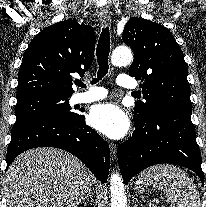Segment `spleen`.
I'll use <instances>...</instances> for the list:
<instances>
[{
    "label": "spleen",
    "mask_w": 206,
    "mask_h": 207,
    "mask_svg": "<svg viewBox=\"0 0 206 207\" xmlns=\"http://www.w3.org/2000/svg\"><path fill=\"white\" fill-rule=\"evenodd\" d=\"M139 177L148 185L163 191L170 207H201L196 185L189 175L177 166H153L142 172Z\"/></svg>",
    "instance_id": "3e777b00"
}]
</instances>
